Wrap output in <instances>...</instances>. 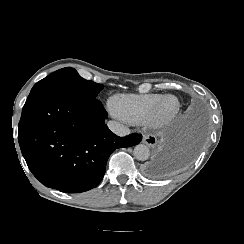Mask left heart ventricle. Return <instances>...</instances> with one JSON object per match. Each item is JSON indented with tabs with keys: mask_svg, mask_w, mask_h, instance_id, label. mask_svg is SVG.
<instances>
[{
	"mask_svg": "<svg viewBox=\"0 0 244 244\" xmlns=\"http://www.w3.org/2000/svg\"><path fill=\"white\" fill-rule=\"evenodd\" d=\"M173 104H174V101L172 99H167L164 103V106L171 107V106H173Z\"/></svg>",
	"mask_w": 244,
	"mask_h": 244,
	"instance_id": "b2bd125f",
	"label": "left heart ventricle"
}]
</instances>
